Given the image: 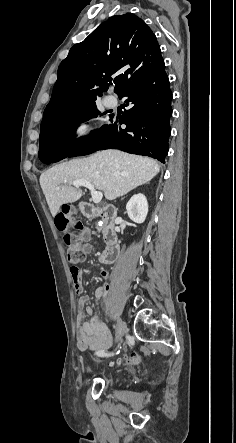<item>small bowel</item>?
<instances>
[{"mask_svg":"<svg viewBox=\"0 0 236 443\" xmlns=\"http://www.w3.org/2000/svg\"><path fill=\"white\" fill-rule=\"evenodd\" d=\"M83 240L82 248L85 253H89L92 250V245L90 241V232L87 228H84L81 234ZM70 273L72 275L74 290L77 294L81 295L78 300V309L80 312L85 311L89 316V321H82V316L79 315L77 318V347L81 351L93 350V351H104L112 346V337L108 330L106 324L101 321L96 315L95 309L92 306H87L89 302V297L83 295L84 285L81 278V273L78 268H70ZM109 272L106 269L100 271V277L102 279H107ZM108 291V286L103 284L99 286L94 293L95 299H99L106 295Z\"/></svg>","mask_w":236,"mask_h":443,"instance_id":"c3829d8e","label":"small bowel"}]
</instances>
